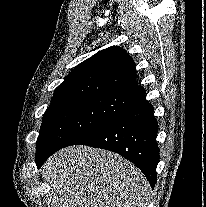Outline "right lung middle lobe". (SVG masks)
<instances>
[{
	"label": "right lung middle lobe",
	"mask_w": 206,
	"mask_h": 207,
	"mask_svg": "<svg viewBox=\"0 0 206 207\" xmlns=\"http://www.w3.org/2000/svg\"><path fill=\"white\" fill-rule=\"evenodd\" d=\"M128 103L127 96L81 97L51 102L43 115L36 156L76 144L118 116Z\"/></svg>",
	"instance_id": "1"
}]
</instances>
